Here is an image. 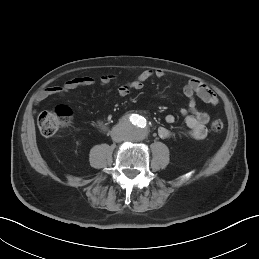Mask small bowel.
I'll return each mask as SVG.
<instances>
[{
    "mask_svg": "<svg viewBox=\"0 0 259 259\" xmlns=\"http://www.w3.org/2000/svg\"><path fill=\"white\" fill-rule=\"evenodd\" d=\"M164 76H166V72L163 70H144L139 73L133 80L119 85L117 92L121 97H125L129 95L132 89H141L144 86V83L149 79L153 77L161 79ZM113 79V74H103L99 78V83L102 86H107ZM95 83V78L91 76H78L66 81L61 85L50 86L41 90L37 94L35 101L36 103H41L49 97L63 96L72 90L80 87L92 86ZM183 93L188 99L187 107L180 109L181 114L185 117V122L188 128L187 132L184 134L195 140L204 139L207 135L206 125L209 122V116L197 108L195 96H198L204 102L211 105H217L218 98L207 85L195 79L189 80L183 85ZM165 121L168 124L174 123V115L168 114L165 117ZM158 135L162 139H169L175 137L176 133L167 127H160L158 129Z\"/></svg>",
    "mask_w": 259,
    "mask_h": 259,
    "instance_id": "1",
    "label": "small bowel"
}]
</instances>
